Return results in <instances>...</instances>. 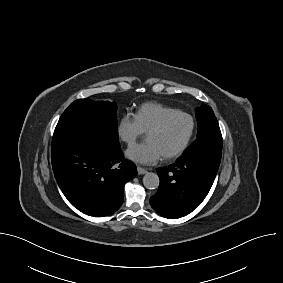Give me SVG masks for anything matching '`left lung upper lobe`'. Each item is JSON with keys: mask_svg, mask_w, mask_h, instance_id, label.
I'll use <instances>...</instances> for the list:
<instances>
[{"mask_svg": "<svg viewBox=\"0 0 283 283\" xmlns=\"http://www.w3.org/2000/svg\"><path fill=\"white\" fill-rule=\"evenodd\" d=\"M198 134L196 140L184 151L182 157L193 153H205L221 160L222 135L212 108L202 104L196 108Z\"/></svg>", "mask_w": 283, "mask_h": 283, "instance_id": "1", "label": "left lung upper lobe"}]
</instances>
